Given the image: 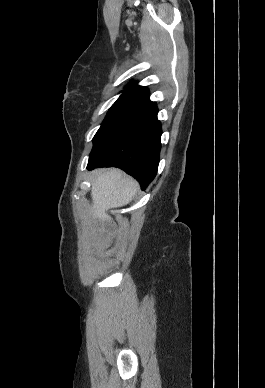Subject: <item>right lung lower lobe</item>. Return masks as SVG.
<instances>
[{"label":"right lung lower lobe","instance_id":"obj_1","mask_svg":"<svg viewBox=\"0 0 265 388\" xmlns=\"http://www.w3.org/2000/svg\"><path fill=\"white\" fill-rule=\"evenodd\" d=\"M158 109L150 102L129 122L92 150L87 168L119 167L135 177L145 189L159 164L161 124Z\"/></svg>","mask_w":265,"mask_h":388}]
</instances>
